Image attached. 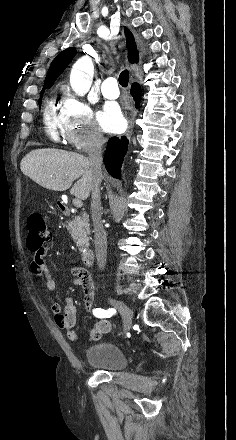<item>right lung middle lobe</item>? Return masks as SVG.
I'll list each match as a JSON object with an SVG mask.
<instances>
[{
  "label": "right lung middle lobe",
  "instance_id": "obj_1",
  "mask_svg": "<svg viewBox=\"0 0 236 440\" xmlns=\"http://www.w3.org/2000/svg\"><path fill=\"white\" fill-rule=\"evenodd\" d=\"M41 97H42V95H41ZM40 105H41V99H40Z\"/></svg>",
  "mask_w": 236,
  "mask_h": 440
}]
</instances>
